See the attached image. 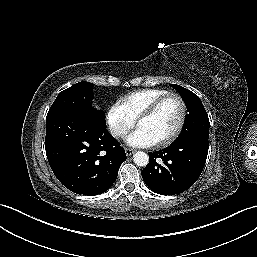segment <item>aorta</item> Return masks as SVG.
Segmentation results:
<instances>
[{
	"instance_id": "762f6f07",
	"label": "aorta",
	"mask_w": 257,
	"mask_h": 257,
	"mask_svg": "<svg viewBox=\"0 0 257 257\" xmlns=\"http://www.w3.org/2000/svg\"><path fill=\"white\" fill-rule=\"evenodd\" d=\"M133 161L137 166H146L149 163V156L143 151H138L133 155Z\"/></svg>"
}]
</instances>
